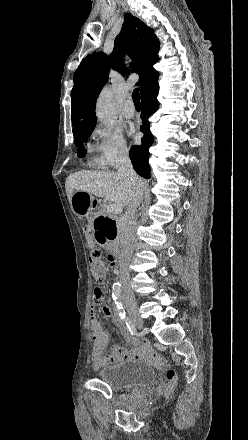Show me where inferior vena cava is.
<instances>
[{
    "mask_svg": "<svg viewBox=\"0 0 248 440\" xmlns=\"http://www.w3.org/2000/svg\"><path fill=\"white\" fill-rule=\"evenodd\" d=\"M117 174L128 177L133 183L136 184L137 192L134 200L129 204L127 211L125 212L121 224H120V254H119V267L121 273V282L125 284L129 280L128 263L131 255L134 251L136 236L134 228V215L137 207L140 205L141 197L143 194V183L141 178L138 177L133 169L131 160L127 151H123L119 155Z\"/></svg>",
    "mask_w": 248,
    "mask_h": 440,
    "instance_id": "1",
    "label": "inferior vena cava"
}]
</instances>
